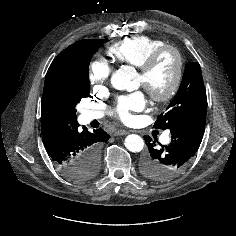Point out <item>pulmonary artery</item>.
Masks as SVG:
<instances>
[{"label":"pulmonary artery","mask_w":236,"mask_h":236,"mask_svg":"<svg viewBox=\"0 0 236 236\" xmlns=\"http://www.w3.org/2000/svg\"><path fill=\"white\" fill-rule=\"evenodd\" d=\"M101 117H102V113L99 112V111H85L83 113V119H84L85 122H90L92 120L99 119ZM169 140L170 139H169L168 134H165V135L162 136V141L164 143L169 142Z\"/></svg>","instance_id":"pulmonary-artery-1"}]
</instances>
